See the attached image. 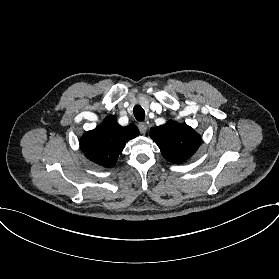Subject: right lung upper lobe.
<instances>
[{"instance_id":"right-lung-upper-lobe-1","label":"right lung upper lobe","mask_w":279,"mask_h":279,"mask_svg":"<svg viewBox=\"0 0 279 279\" xmlns=\"http://www.w3.org/2000/svg\"><path fill=\"white\" fill-rule=\"evenodd\" d=\"M138 134L139 130L135 125L121 127L116 117L109 115L96 129L83 135L80 147L91 161L104 167H111L116 163L127 141Z\"/></svg>"}]
</instances>
